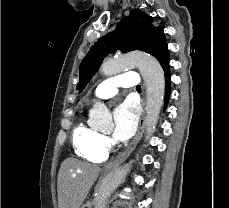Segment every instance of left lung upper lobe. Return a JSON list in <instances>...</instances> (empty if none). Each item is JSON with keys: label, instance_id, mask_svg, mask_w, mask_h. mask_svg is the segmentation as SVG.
<instances>
[{"label": "left lung upper lobe", "instance_id": "obj_1", "mask_svg": "<svg viewBox=\"0 0 229 208\" xmlns=\"http://www.w3.org/2000/svg\"><path fill=\"white\" fill-rule=\"evenodd\" d=\"M154 20L144 12L132 11L116 26V29L101 37L89 50L79 68L81 92L98 70L103 59L110 52L120 49L123 53L141 50L154 57L162 65L169 60V53L162 26H155Z\"/></svg>", "mask_w": 229, "mask_h": 208}]
</instances>
